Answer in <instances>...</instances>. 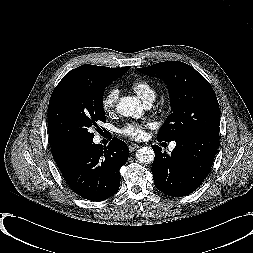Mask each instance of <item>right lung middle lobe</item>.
<instances>
[{
  "instance_id": "obj_1",
  "label": "right lung middle lobe",
  "mask_w": 253,
  "mask_h": 253,
  "mask_svg": "<svg viewBox=\"0 0 253 253\" xmlns=\"http://www.w3.org/2000/svg\"><path fill=\"white\" fill-rule=\"evenodd\" d=\"M130 67L127 68V70ZM125 72L79 74L54 89L48 106V131L60 144L78 148L93 141L91 129L106 121L105 87Z\"/></svg>"
}]
</instances>
